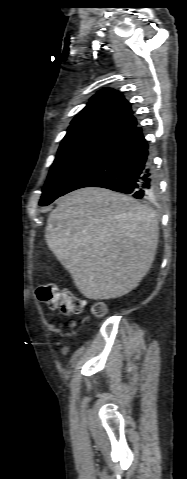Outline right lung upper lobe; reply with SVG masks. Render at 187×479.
Instances as JSON below:
<instances>
[{
    "mask_svg": "<svg viewBox=\"0 0 187 479\" xmlns=\"http://www.w3.org/2000/svg\"><path fill=\"white\" fill-rule=\"evenodd\" d=\"M137 125L131 107L121 93L103 89L94 95L87 106L72 120L68 129L106 126L125 133Z\"/></svg>",
    "mask_w": 187,
    "mask_h": 479,
    "instance_id": "obj_1",
    "label": "right lung upper lobe"
}]
</instances>
